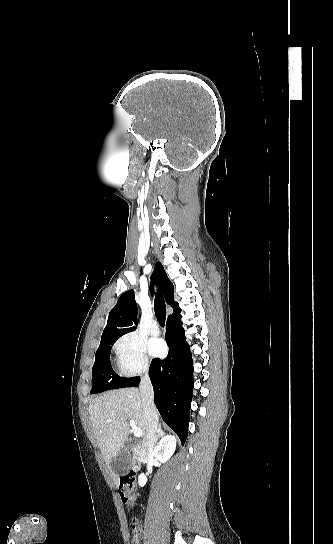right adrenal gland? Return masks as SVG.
Wrapping results in <instances>:
<instances>
[{"mask_svg": "<svg viewBox=\"0 0 333 544\" xmlns=\"http://www.w3.org/2000/svg\"><path fill=\"white\" fill-rule=\"evenodd\" d=\"M165 435V432L163 431L162 429V426L161 424H159L158 426V431H157V436H156V439H155V444L158 442V440L163 437Z\"/></svg>", "mask_w": 333, "mask_h": 544, "instance_id": "right-adrenal-gland-1", "label": "right adrenal gland"}]
</instances>
